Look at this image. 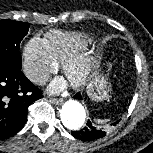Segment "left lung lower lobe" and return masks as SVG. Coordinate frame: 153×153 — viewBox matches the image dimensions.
<instances>
[{"instance_id":"1","label":"left lung lower lobe","mask_w":153,"mask_h":153,"mask_svg":"<svg viewBox=\"0 0 153 153\" xmlns=\"http://www.w3.org/2000/svg\"><path fill=\"white\" fill-rule=\"evenodd\" d=\"M75 97L79 100H81V95L80 93H77L75 95ZM118 123L115 122L113 123V125H116ZM72 135L77 138L80 139L82 141H92V140H96L99 138H102L106 135V133L102 130H98L94 125H92V123L88 120L87 122V126L84 127L83 129L79 130V131H72Z\"/></svg>"}]
</instances>
